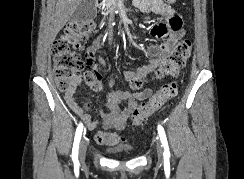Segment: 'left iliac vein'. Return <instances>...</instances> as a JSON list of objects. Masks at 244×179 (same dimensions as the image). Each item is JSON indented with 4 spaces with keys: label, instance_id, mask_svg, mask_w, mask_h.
<instances>
[{
    "label": "left iliac vein",
    "instance_id": "left-iliac-vein-1",
    "mask_svg": "<svg viewBox=\"0 0 244 179\" xmlns=\"http://www.w3.org/2000/svg\"><path fill=\"white\" fill-rule=\"evenodd\" d=\"M156 145H157V153H158V157L160 160L163 159V156H164V149H163V145L160 141H157L156 142Z\"/></svg>",
    "mask_w": 244,
    "mask_h": 179
}]
</instances>
